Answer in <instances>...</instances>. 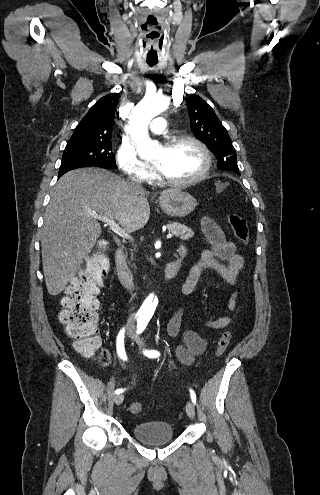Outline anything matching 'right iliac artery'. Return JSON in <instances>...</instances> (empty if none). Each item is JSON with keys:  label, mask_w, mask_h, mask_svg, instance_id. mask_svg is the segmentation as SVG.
Here are the masks:
<instances>
[{"label": "right iliac artery", "mask_w": 320, "mask_h": 495, "mask_svg": "<svg viewBox=\"0 0 320 495\" xmlns=\"http://www.w3.org/2000/svg\"><path fill=\"white\" fill-rule=\"evenodd\" d=\"M124 332H125V328H122L117 336V344H116V347H117V354L118 356L126 361L127 360V356H126V351H125V347H124ZM124 392V389L120 388V389H117L115 391V394H121Z\"/></svg>", "instance_id": "82829eb1"}]
</instances>
